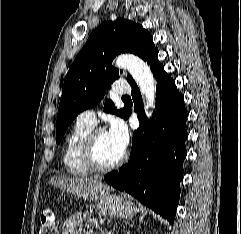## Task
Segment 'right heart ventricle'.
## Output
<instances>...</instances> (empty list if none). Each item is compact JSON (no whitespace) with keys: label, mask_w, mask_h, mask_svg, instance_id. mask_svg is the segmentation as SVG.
Returning <instances> with one entry per match:
<instances>
[{"label":"right heart ventricle","mask_w":241,"mask_h":234,"mask_svg":"<svg viewBox=\"0 0 241 234\" xmlns=\"http://www.w3.org/2000/svg\"><path fill=\"white\" fill-rule=\"evenodd\" d=\"M93 127L77 120L66 137L62 157L63 164L66 171L73 176H87L91 173L83 162L82 146Z\"/></svg>","instance_id":"obj_1"}]
</instances>
